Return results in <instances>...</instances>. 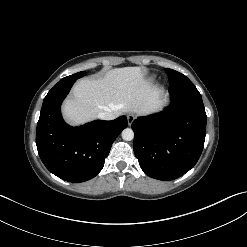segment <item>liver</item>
<instances>
[{
	"label": "liver",
	"instance_id": "1",
	"mask_svg": "<svg viewBox=\"0 0 247 247\" xmlns=\"http://www.w3.org/2000/svg\"><path fill=\"white\" fill-rule=\"evenodd\" d=\"M164 104L160 89L145 79L140 67H123L108 71L103 78L79 80L62 111L67 122L79 125L101 112L116 117L127 112L148 115L160 111Z\"/></svg>",
	"mask_w": 247,
	"mask_h": 247
}]
</instances>
